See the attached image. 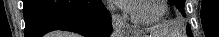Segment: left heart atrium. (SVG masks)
Masks as SVG:
<instances>
[{
    "label": "left heart atrium",
    "mask_w": 219,
    "mask_h": 37,
    "mask_svg": "<svg viewBox=\"0 0 219 37\" xmlns=\"http://www.w3.org/2000/svg\"><path fill=\"white\" fill-rule=\"evenodd\" d=\"M123 6H125L127 9L129 7L133 6L134 1L133 0H120L119 1Z\"/></svg>",
    "instance_id": "1"
}]
</instances>
